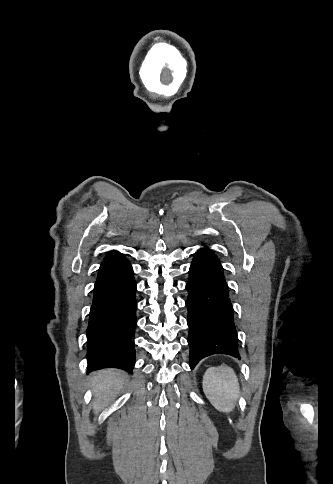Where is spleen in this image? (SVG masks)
<instances>
[{
  "mask_svg": "<svg viewBox=\"0 0 333 484\" xmlns=\"http://www.w3.org/2000/svg\"><path fill=\"white\" fill-rule=\"evenodd\" d=\"M202 388L219 412L233 411L240 391L239 381L233 369L220 367L207 370L203 376Z\"/></svg>",
  "mask_w": 333,
  "mask_h": 484,
  "instance_id": "obj_1",
  "label": "spleen"
}]
</instances>
